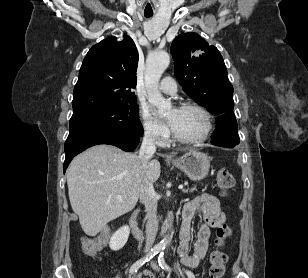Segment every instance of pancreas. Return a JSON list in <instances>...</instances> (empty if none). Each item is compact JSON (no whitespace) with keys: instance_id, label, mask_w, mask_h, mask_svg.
Instances as JSON below:
<instances>
[{"instance_id":"1","label":"pancreas","mask_w":308,"mask_h":278,"mask_svg":"<svg viewBox=\"0 0 308 278\" xmlns=\"http://www.w3.org/2000/svg\"><path fill=\"white\" fill-rule=\"evenodd\" d=\"M196 188L193 187V188H190V189H186V190H183L184 193H187V192H193Z\"/></svg>"}]
</instances>
